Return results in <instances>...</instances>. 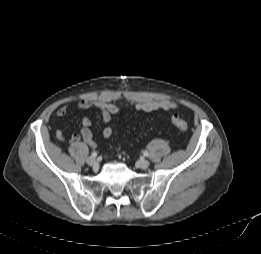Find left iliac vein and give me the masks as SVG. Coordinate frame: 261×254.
<instances>
[{"instance_id": "4c4485c4", "label": "left iliac vein", "mask_w": 261, "mask_h": 254, "mask_svg": "<svg viewBox=\"0 0 261 254\" xmlns=\"http://www.w3.org/2000/svg\"><path fill=\"white\" fill-rule=\"evenodd\" d=\"M149 165H150L149 161L144 158L139 159V161L137 162V166L140 169H147Z\"/></svg>"}]
</instances>
